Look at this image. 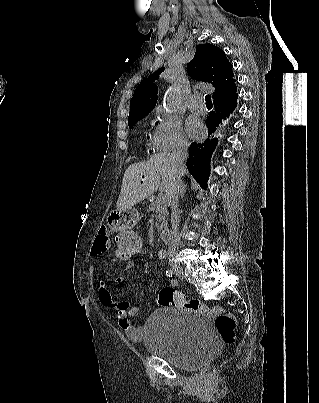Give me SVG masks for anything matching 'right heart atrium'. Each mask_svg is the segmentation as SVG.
Masks as SVG:
<instances>
[{
	"instance_id": "d8ad5b80",
	"label": "right heart atrium",
	"mask_w": 319,
	"mask_h": 403,
	"mask_svg": "<svg viewBox=\"0 0 319 403\" xmlns=\"http://www.w3.org/2000/svg\"><path fill=\"white\" fill-rule=\"evenodd\" d=\"M155 130L152 136L154 149L170 152L186 148L188 140L183 132L181 119L163 107L154 111Z\"/></svg>"
}]
</instances>
